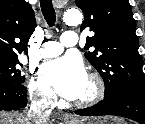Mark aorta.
<instances>
[{"label":"aorta","instance_id":"1","mask_svg":"<svg viewBox=\"0 0 145 124\" xmlns=\"http://www.w3.org/2000/svg\"><path fill=\"white\" fill-rule=\"evenodd\" d=\"M66 24L75 26L82 22V14L77 9H69L64 14Z\"/></svg>","mask_w":145,"mask_h":124}]
</instances>
